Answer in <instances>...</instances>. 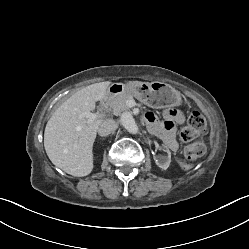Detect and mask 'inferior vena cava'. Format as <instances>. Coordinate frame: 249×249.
I'll use <instances>...</instances> for the list:
<instances>
[{
	"label": "inferior vena cava",
	"mask_w": 249,
	"mask_h": 249,
	"mask_svg": "<svg viewBox=\"0 0 249 249\" xmlns=\"http://www.w3.org/2000/svg\"><path fill=\"white\" fill-rule=\"evenodd\" d=\"M118 125L113 119L103 120L98 127L100 136H107L117 129Z\"/></svg>",
	"instance_id": "602c4592"
}]
</instances>
